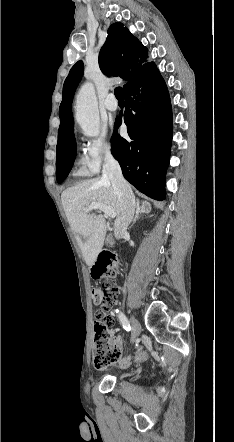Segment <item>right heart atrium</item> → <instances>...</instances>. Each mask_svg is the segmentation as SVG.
<instances>
[{"mask_svg": "<svg viewBox=\"0 0 234 442\" xmlns=\"http://www.w3.org/2000/svg\"><path fill=\"white\" fill-rule=\"evenodd\" d=\"M85 158L90 169L96 173L101 166L113 157L114 146L106 134L90 139L85 145Z\"/></svg>", "mask_w": 234, "mask_h": 442, "instance_id": "d8ad5b80", "label": "right heart atrium"}]
</instances>
